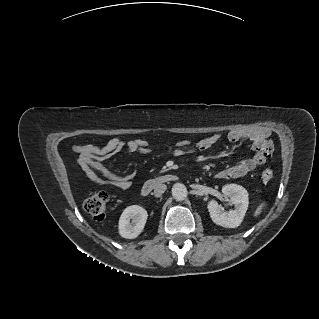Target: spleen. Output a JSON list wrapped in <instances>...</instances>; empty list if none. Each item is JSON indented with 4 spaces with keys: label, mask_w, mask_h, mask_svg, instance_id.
Returning a JSON list of instances; mask_svg holds the SVG:
<instances>
[{
    "label": "spleen",
    "mask_w": 319,
    "mask_h": 319,
    "mask_svg": "<svg viewBox=\"0 0 319 319\" xmlns=\"http://www.w3.org/2000/svg\"><path fill=\"white\" fill-rule=\"evenodd\" d=\"M263 208H264V202L260 203L259 206L256 208L254 212V217H258L262 213Z\"/></svg>",
    "instance_id": "1"
}]
</instances>
